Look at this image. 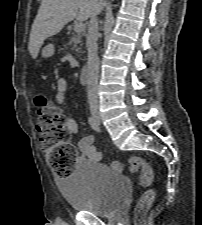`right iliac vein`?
Returning a JSON list of instances; mask_svg holds the SVG:
<instances>
[{
	"mask_svg": "<svg viewBox=\"0 0 202 225\" xmlns=\"http://www.w3.org/2000/svg\"><path fill=\"white\" fill-rule=\"evenodd\" d=\"M92 115L96 120H100V115L97 110H92Z\"/></svg>",
	"mask_w": 202,
	"mask_h": 225,
	"instance_id": "obj_1",
	"label": "right iliac vein"
}]
</instances>
